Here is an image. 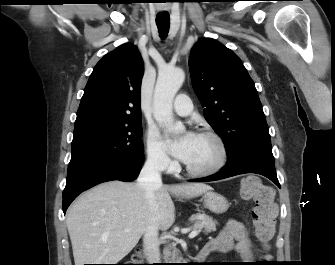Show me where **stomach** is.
Segmentation results:
<instances>
[{
	"mask_svg": "<svg viewBox=\"0 0 335 265\" xmlns=\"http://www.w3.org/2000/svg\"><path fill=\"white\" fill-rule=\"evenodd\" d=\"M203 200L205 207L216 214H222L229 208L228 200L223 195L213 191L205 192Z\"/></svg>",
	"mask_w": 335,
	"mask_h": 265,
	"instance_id": "1",
	"label": "stomach"
}]
</instances>
